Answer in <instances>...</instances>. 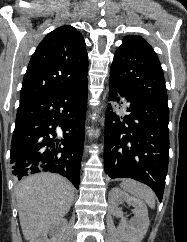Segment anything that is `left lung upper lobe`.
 <instances>
[{
	"label": "left lung upper lobe",
	"mask_w": 187,
	"mask_h": 242,
	"mask_svg": "<svg viewBox=\"0 0 187 242\" xmlns=\"http://www.w3.org/2000/svg\"><path fill=\"white\" fill-rule=\"evenodd\" d=\"M110 79L139 96L168 106L161 64L153 48L140 36L123 39L114 55Z\"/></svg>",
	"instance_id": "1"
}]
</instances>
